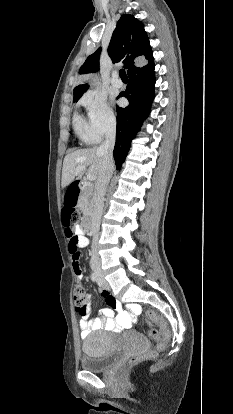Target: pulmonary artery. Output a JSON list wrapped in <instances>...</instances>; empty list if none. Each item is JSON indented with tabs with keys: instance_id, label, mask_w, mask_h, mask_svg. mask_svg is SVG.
<instances>
[{
	"instance_id": "e3ab8cb5",
	"label": "pulmonary artery",
	"mask_w": 233,
	"mask_h": 414,
	"mask_svg": "<svg viewBox=\"0 0 233 414\" xmlns=\"http://www.w3.org/2000/svg\"><path fill=\"white\" fill-rule=\"evenodd\" d=\"M111 83H112L113 86L118 87V88L122 87V85H123L122 80L119 78V76L116 72L113 74V78L111 80Z\"/></svg>"
}]
</instances>
